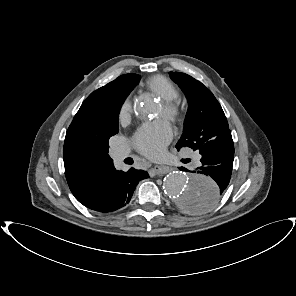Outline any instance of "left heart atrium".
I'll return each mask as SVG.
<instances>
[{
    "label": "left heart atrium",
    "instance_id": "1",
    "mask_svg": "<svg viewBox=\"0 0 296 296\" xmlns=\"http://www.w3.org/2000/svg\"><path fill=\"white\" fill-rule=\"evenodd\" d=\"M172 128L165 120L141 125L132 137L135 148L143 155L156 157L172 139Z\"/></svg>",
    "mask_w": 296,
    "mask_h": 296
}]
</instances>
